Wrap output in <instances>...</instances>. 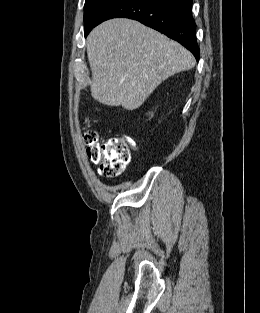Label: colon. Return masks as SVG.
Returning a JSON list of instances; mask_svg holds the SVG:
<instances>
[{"mask_svg":"<svg viewBox=\"0 0 260 313\" xmlns=\"http://www.w3.org/2000/svg\"><path fill=\"white\" fill-rule=\"evenodd\" d=\"M83 139L87 147V156L98 165V173L103 177L120 175L130 162L131 145L123 134H117L100 142L98 134L86 128Z\"/></svg>","mask_w":260,"mask_h":313,"instance_id":"colon-1","label":"colon"}]
</instances>
